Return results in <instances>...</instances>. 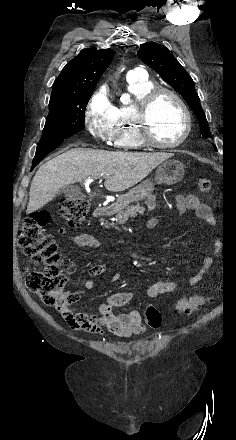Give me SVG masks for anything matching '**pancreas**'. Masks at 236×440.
Instances as JSON below:
<instances>
[{
  "label": "pancreas",
  "mask_w": 236,
  "mask_h": 440,
  "mask_svg": "<svg viewBox=\"0 0 236 440\" xmlns=\"http://www.w3.org/2000/svg\"><path fill=\"white\" fill-rule=\"evenodd\" d=\"M145 204L147 205L149 210H153L156 207V197L154 195H151L148 197V199L145 201ZM145 211V208L140 206V204H137L135 206H129L124 211H119L116 215L118 223L123 224L125 223L129 218L135 217L137 213L143 214Z\"/></svg>",
  "instance_id": "1"
}]
</instances>
